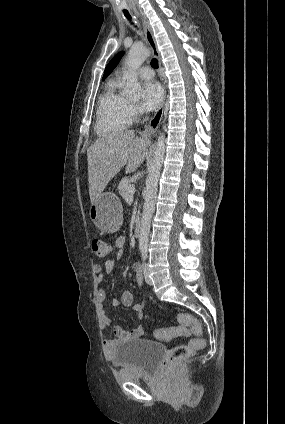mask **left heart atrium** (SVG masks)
I'll return each mask as SVG.
<instances>
[{
	"label": "left heart atrium",
	"instance_id": "obj_1",
	"mask_svg": "<svg viewBox=\"0 0 285 424\" xmlns=\"http://www.w3.org/2000/svg\"><path fill=\"white\" fill-rule=\"evenodd\" d=\"M163 90L156 81H146L141 87V106L144 110H156L162 103Z\"/></svg>",
	"mask_w": 285,
	"mask_h": 424
}]
</instances>
